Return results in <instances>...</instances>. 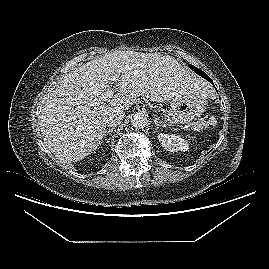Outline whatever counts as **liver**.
<instances>
[{
  "mask_svg": "<svg viewBox=\"0 0 269 269\" xmlns=\"http://www.w3.org/2000/svg\"><path fill=\"white\" fill-rule=\"evenodd\" d=\"M116 75L119 93L103 100ZM209 91L170 55L111 52L57 82L42 110L43 141L60 162H78L101 145L105 118L112 110H128L140 96L159 103L190 93L206 97Z\"/></svg>",
  "mask_w": 269,
  "mask_h": 269,
  "instance_id": "1",
  "label": "liver"
}]
</instances>
